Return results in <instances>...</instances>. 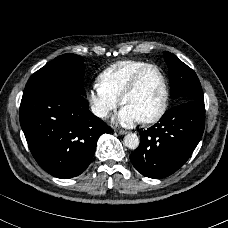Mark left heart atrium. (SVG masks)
<instances>
[{
    "label": "left heart atrium",
    "mask_w": 228,
    "mask_h": 228,
    "mask_svg": "<svg viewBox=\"0 0 228 228\" xmlns=\"http://www.w3.org/2000/svg\"><path fill=\"white\" fill-rule=\"evenodd\" d=\"M141 121L140 117L129 107L124 106L115 122L121 123L125 126L131 127Z\"/></svg>",
    "instance_id": "39dd6f15"
}]
</instances>
